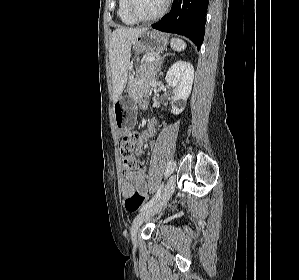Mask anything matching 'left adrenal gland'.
I'll return each instance as SVG.
<instances>
[{"instance_id":"1","label":"left adrenal gland","mask_w":299,"mask_h":280,"mask_svg":"<svg viewBox=\"0 0 299 280\" xmlns=\"http://www.w3.org/2000/svg\"><path fill=\"white\" fill-rule=\"evenodd\" d=\"M169 55H172V54H165L163 57H161V59H160V62H159V65L160 64H162L163 62H164V60H165V58L167 57V56H169ZM160 70V66H159V69H158V71Z\"/></svg>"}]
</instances>
